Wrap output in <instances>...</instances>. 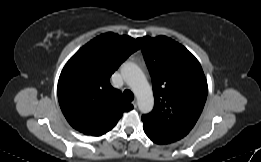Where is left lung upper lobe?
Segmentation results:
<instances>
[{"mask_svg":"<svg viewBox=\"0 0 261 162\" xmlns=\"http://www.w3.org/2000/svg\"><path fill=\"white\" fill-rule=\"evenodd\" d=\"M149 69L154 108L144 125L161 136L180 140L195 126L206 102L208 86L198 60L181 44L158 36L137 39Z\"/></svg>","mask_w":261,"mask_h":162,"instance_id":"obj_1","label":"left lung upper lobe"}]
</instances>
